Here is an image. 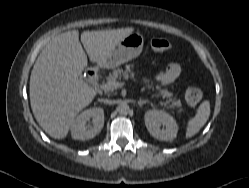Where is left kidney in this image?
Wrapping results in <instances>:
<instances>
[{
	"label": "left kidney",
	"mask_w": 249,
	"mask_h": 188,
	"mask_svg": "<svg viewBox=\"0 0 249 188\" xmlns=\"http://www.w3.org/2000/svg\"><path fill=\"white\" fill-rule=\"evenodd\" d=\"M144 120L147 130L154 138L162 141H171L176 138L178 125L175 119L165 111L148 110ZM161 125L164 128L160 129Z\"/></svg>",
	"instance_id": "5707ae66"
}]
</instances>
